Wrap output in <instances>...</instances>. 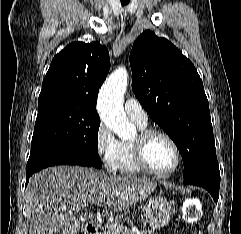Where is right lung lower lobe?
Masks as SVG:
<instances>
[{
	"instance_id": "obj_1",
	"label": "right lung lower lobe",
	"mask_w": 241,
	"mask_h": 234,
	"mask_svg": "<svg viewBox=\"0 0 241 234\" xmlns=\"http://www.w3.org/2000/svg\"><path fill=\"white\" fill-rule=\"evenodd\" d=\"M54 165L91 166L88 161L69 150L61 148L43 150L29 157L26 171V185L32 174Z\"/></svg>"
}]
</instances>
